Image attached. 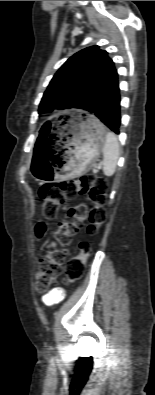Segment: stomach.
Returning <instances> with one entry per match:
<instances>
[{
	"label": "stomach",
	"instance_id": "0dacf381",
	"mask_svg": "<svg viewBox=\"0 0 155 395\" xmlns=\"http://www.w3.org/2000/svg\"><path fill=\"white\" fill-rule=\"evenodd\" d=\"M104 125L92 114L76 110L62 136V146L50 158L35 154L30 171L37 181L70 179L83 174L95 162L105 143Z\"/></svg>",
	"mask_w": 155,
	"mask_h": 395
}]
</instances>
